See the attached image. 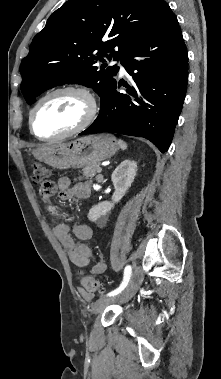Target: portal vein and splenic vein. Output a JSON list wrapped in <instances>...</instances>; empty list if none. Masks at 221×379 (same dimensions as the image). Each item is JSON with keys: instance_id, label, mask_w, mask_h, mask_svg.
Listing matches in <instances>:
<instances>
[{"instance_id": "1", "label": "portal vein and splenic vein", "mask_w": 221, "mask_h": 379, "mask_svg": "<svg viewBox=\"0 0 221 379\" xmlns=\"http://www.w3.org/2000/svg\"><path fill=\"white\" fill-rule=\"evenodd\" d=\"M101 171H102V168L99 167V168L97 169V172L100 173Z\"/></svg>"}]
</instances>
